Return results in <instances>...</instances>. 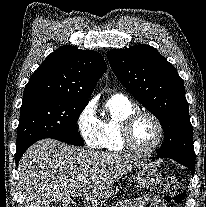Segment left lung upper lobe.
<instances>
[{
	"mask_svg": "<svg viewBox=\"0 0 206 207\" xmlns=\"http://www.w3.org/2000/svg\"><path fill=\"white\" fill-rule=\"evenodd\" d=\"M107 58L120 82L161 122L165 140L157 155L195 163L184 81L175 67L145 44L111 50Z\"/></svg>",
	"mask_w": 206,
	"mask_h": 207,
	"instance_id": "5c2ea615",
	"label": "left lung upper lobe"
}]
</instances>
